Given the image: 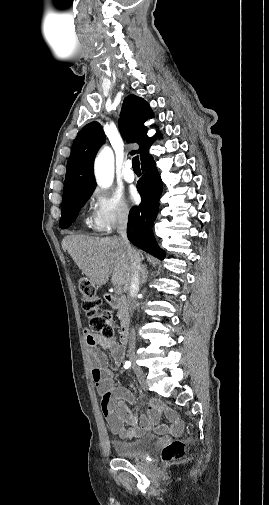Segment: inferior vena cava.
I'll return each instance as SVG.
<instances>
[{
	"label": "inferior vena cava",
	"mask_w": 269,
	"mask_h": 505,
	"mask_svg": "<svg viewBox=\"0 0 269 505\" xmlns=\"http://www.w3.org/2000/svg\"><path fill=\"white\" fill-rule=\"evenodd\" d=\"M127 221L128 217L126 214L120 215L117 224V232L119 233V238L122 243L123 248L126 250L129 263H130V279L128 286V301L130 306V311L133 312L136 307L135 297L138 294L140 286V278L143 272V266L141 265V258L139 253L131 246L127 238ZM135 349V335L134 329L132 328L129 333V350Z\"/></svg>",
	"instance_id": "inferior-vena-cava-1"
}]
</instances>
